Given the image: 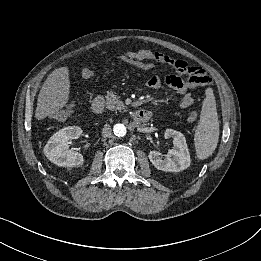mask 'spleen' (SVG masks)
Returning a JSON list of instances; mask_svg holds the SVG:
<instances>
[{"label":"spleen","mask_w":261,"mask_h":261,"mask_svg":"<svg viewBox=\"0 0 261 261\" xmlns=\"http://www.w3.org/2000/svg\"><path fill=\"white\" fill-rule=\"evenodd\" d=\"M219 139V120L216 101L212 89L206 90V98L197 125L194 144L200 160L208 158L217 147Z\"/></svg>","instance_id":"1"}]
</instances>
